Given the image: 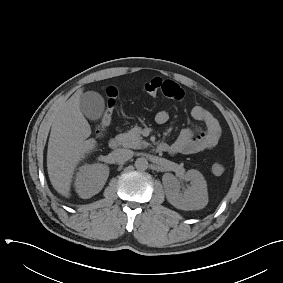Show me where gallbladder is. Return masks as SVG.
<instances>
[{"mask_svg":"<svg viewBox=\"0 0 283 283\" xmlns=\"http://www.w3.org/2000/svg\"><path fill=\"white\" fill-rule=\"evenodd\" d=\"M80 109L88 119L98 120L105 109L104 99L97 92L87 91L80 97Z\"/></svg>","mask_w":283,"mask_h":283,"instance_id":"gallbladder-1","label":"gallbladder"}]
</instances>
